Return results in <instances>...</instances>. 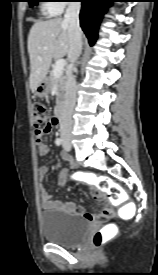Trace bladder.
Segmentation results:
<instances>
[{
	"label": "bladder",
	"instance_id": "bladder-1",
	"mask_svg": "<svg viewBox=\"0 0 158 275\" xmlns=\"http://www.w3.org/2000/svg\"><path fill=\"white\" fill-rule=\"evenodd\" d=\"M89 227L88 219L60 209H46L41 216L43 237L49 242L66 247H73L81 242Z\"/></svg>",
	"mask_w": 158,
	"mask_h": 275
}]
</instances>
